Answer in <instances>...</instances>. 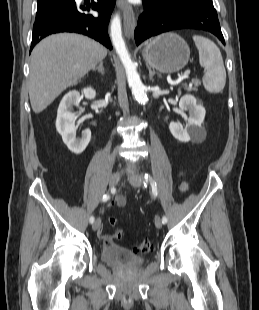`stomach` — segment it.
Here are the masks:
<instances>
[{
  "label": "stomach",
  "instance_id": "0dacf381",
  "mask_svg": "<svg viewBox=\"0 0 259 310\" xmlns=\"http://www.w3.org/2000/svg\"><path fill=\"white\" fill-rule=\"evenodd\" d=\"M142 56L146 64L153 69L161 73H172L186 66L190 49L179 35L165 33L147 43Z\"/></svg>",
  "mask_w": 259,
  "mask_h": 310
}]
</instances>
